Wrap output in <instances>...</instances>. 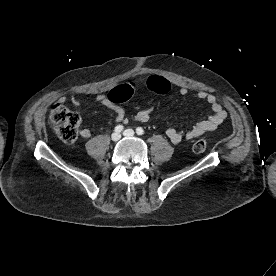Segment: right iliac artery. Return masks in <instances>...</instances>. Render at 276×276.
I'll return each instance as SVG.
<instances>
[{
    "label": "right iliac artery",
    "mask_w": 276,
    "mask_h": 276,
    "mask_svg": "<svg viewBox=\"0 0 276 276\" xmlns=\"http://www.w3.org/2000/svg\"><path fill=\"white\" fill-rule=\"evenodd\" d=\"M123 126L122 125H117L116 127H115V131L116 132H118V133H120L122 130H123Z\"/></svg>",
    "instance_id": "right-iliac-artery-1"
}]
</instances>
